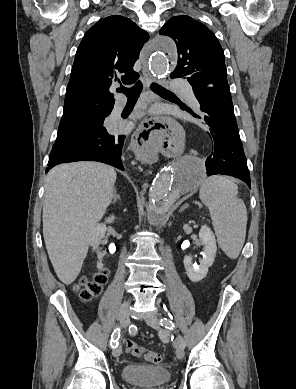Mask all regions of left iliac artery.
<instances>
[{"label": "left iliac artery", "instance_id": "1", "mask_svg": "<svg viewBox=\"0 0 296 389\" xmlns=\"http://www.w3.org/2000/svg\"><path fill=\"white\" fill-rule=\"evenodd\" d=\"M160 324L165 326V328L173 330L175 328V324L166 318L160 320ZM178 343H180L183 347H185V341L181 335L178 336Z\"/></svg>", "mask_w": 296, "mask_h": 389}]
</instances>
